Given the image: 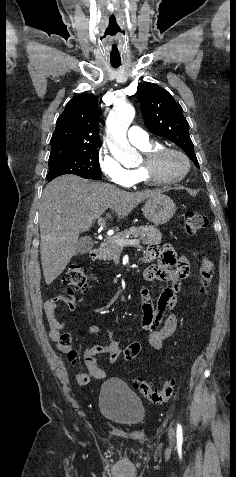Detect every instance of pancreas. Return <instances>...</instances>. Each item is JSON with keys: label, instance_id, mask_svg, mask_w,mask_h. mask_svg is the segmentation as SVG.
<instances>
[{"label": "pancreas", "instance_id": "1", "mask_svg": "<svg viewBox=\"0 0 236 477\" xmlns=\"http://www.w3.org/2000/svg\"><path fill=\"white\" fill-rule=\"evenodd\" d=\"M147 226H139L135 227L132 226L128 230H124L119 232L113 237L107 238L101 244V254L100 259L102 260H112L115 257L119 256L122 252V247H120L117 243V239H128L129 237L136 238L140 236V240L143 241V244L150 245V244H160L162 241V234L156 228L150 226V230H146Z\"/></svg>", "mask_w": 236, "mask_h": 477}]
</instances>
